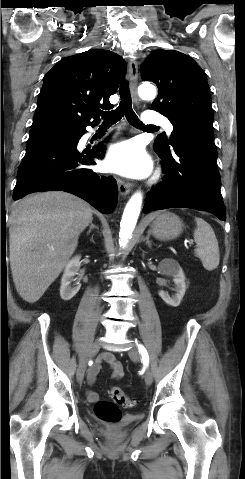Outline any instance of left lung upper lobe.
<instances>
[{"label": "left lung upper lobe", "instance_id": "5c2ea615", "mask_svg": "<svg viewBox=\"0 0 245 479\" xmlns=\"http://www.w3.org/2000/svg\"><path fill=\"white\" fill-rule=\"evenodd\" d=\"M140 70L142 80L153 81L159 89L151 109L166 116L174 127L169 140L165 134L157 137L154 150L166 153L173 141L192 136L213 138L209 86L203 70L190 56L155 50Z\"/></svg>", "mask_w": 245, "mask_h": 479}]
</instances>
